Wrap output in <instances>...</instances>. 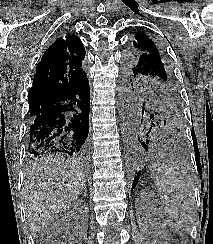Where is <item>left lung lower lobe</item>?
Segmentation results:
<instances>
[{
  "label": "left lung lower lobe",
  "instance_id": "1",
  "mask_svg": "<svg viewBox=\"0 0 213 244\" xmlns=\"http://www.w3.org/2000/svg\"><path fill=\"white\" fill-rule=\"evenodd\" d=\"M123 124L126 147L131 155L150 151L164 138L156 124L145 120L131 108L124 107Z\"/></svg>",
  "mask_w": 213,
  "mask_h": 244
}]
</instances>
